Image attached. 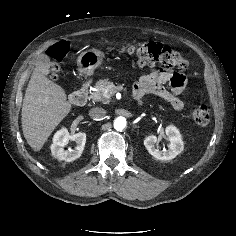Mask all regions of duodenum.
Listing matches in <instances>:
<instances>
[{"label":"duodenum","mask_w":236,"mask_h":236,"mask_svg":"<svg viewBox=\"0 0 236 236\" xmlns=\"http://www.w3.org/2000/svg\"><path fill=\"white\" fill-rule=\"evenodd\" d=\"M88 96V82H83L71 95L70 102L76 106L86 103Z\"/></svg>","instance_id":"obj_1"}]
</instances>
